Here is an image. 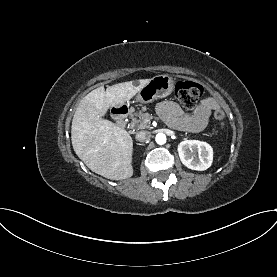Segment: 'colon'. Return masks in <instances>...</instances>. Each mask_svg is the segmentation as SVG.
Segmentation results:
<instances>
[{"label":"colon","mask_w":277,"mask_h":277,"mask_svg":"<svg viewBox=\"0 0 277 277\" xmlns=\"http://www.w3.org/2000/svg\"><path fill=\"white\" fill-rule=\"evenodd\" d=\"M203 94V88L200 84L192 81H180L175 85V96L186 108H192ZM215 119L224 125L225 115L223 111L216 110Z\"/></svg>","instance_id":"5ec220e1"}]
</instances>
